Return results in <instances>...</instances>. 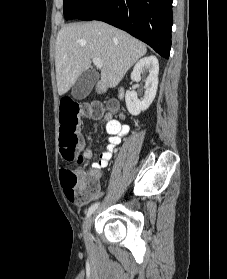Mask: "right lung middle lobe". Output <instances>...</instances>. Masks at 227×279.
I'll list each match as a JSON object with an SVG mask.
<instances>
[{
  "label": "right lung middle lobe",
  "instance_id": "dd1d6c3e",
  "mask_svg": "<svg viewBox=\"0 0 227 279\" xmlns=\"http://www.w3.org/2000/svg\"><path fill=\"white\" fill-rule=\"evenodd\" d=\"M94 0H64L63 11L65 19L81 16Z\"/></svg>",
  "mask_w": 227,
  "mask_h": 279
}]
</instances>
